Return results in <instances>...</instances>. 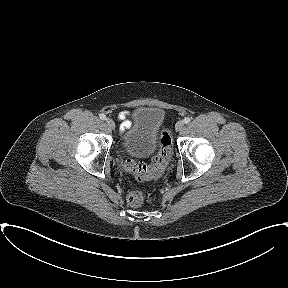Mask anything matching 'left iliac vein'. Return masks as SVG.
I'll list each match as a JSON object with an SVG mask.
<instances>
[{"label": "left iliac vein", "mask_w": 288, "mask_h": 288, "mask_svg": "<svg viewBox=\"0 0 288 288\" xmlns=\"http://www.w3.org/2000/svg\"><path fill=\"white\" fill-rule=\"evenodd\" d=\"M184 128V122L183 121H178L175 125V129L177 131H181Z\"/></svg>", "instance_id": "left-iliac-vein-1"}]
</instances>
